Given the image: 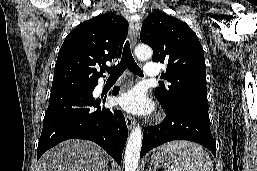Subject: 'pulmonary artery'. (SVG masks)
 Returning a JSON list of instances; mask_svg holds the SVG:
<instances>
[{"mask_svg": "<svg viewBox=\"0 0 257 171\" xmlns=\"http://www.w3.org/2000/svg\"><path fill=\"white\" fill-rule=\"evenodd\" d=\"M159 74L158 64L155 62H148L144 67V75L146 77H155Z\"/></svg>", "mask_w": 257, "mask_h": 171, "instance_id": "1", "label": "pulmonary artery"}]
</instances>
